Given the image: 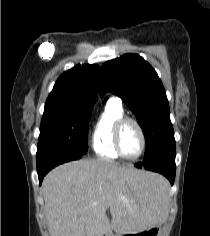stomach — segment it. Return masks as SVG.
Returning a JSON list of instances; mask_svg holds the SVG:
<instances>
[{"instance_id": "stomach-1", "label": "stomach", "mask_w": 210, "mask_h": 236, "mask_svg": "<svg viewBox=\"0 0 210 236\" xmlns=\"http://www.w3.org/2000/svg\"><path fill=\"white\" fill-rule=\"evenodd\" d=\"M161 224L159 221L141 231L127 233L125 236H160ZM120 236V235H117Z\"/></svg>"}]
</instances>
